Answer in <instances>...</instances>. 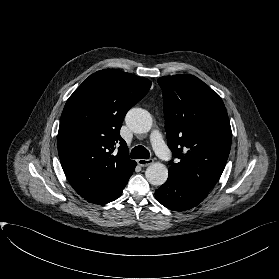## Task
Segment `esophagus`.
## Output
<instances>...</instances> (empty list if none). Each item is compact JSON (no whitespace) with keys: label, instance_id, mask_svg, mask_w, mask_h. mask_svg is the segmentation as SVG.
I'll return each mask as SVG.
<instances>
[{"label":"esophagus","instance_id":"34e87169","mask_svg":"<svg viewBox=\"0 0 279 279\" xmlns=\"http://www.w3.org/2000/svg\"><path fill=\"white\" fill-rule=\"evenodd\" d=\"M153 162H154L153 159H138V160H137L138 165L141 166V167L149 166V165H151Z\"/></svg>","mask_w":279,"mask_h":279}]
</instances>
